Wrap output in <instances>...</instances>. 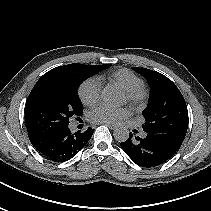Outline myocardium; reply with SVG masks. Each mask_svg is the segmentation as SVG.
Masks as SVG:
<instances>
[{
  "label": "myocardium",
  "instance_id": "f54148a6",
  "mask_svg": "<svg viewBox=\"0 0 211 211\" xmlns=\"http://www.w3.org/2000/svg\"><path fill=\"white\" fill-rule=\"evenodd\" d=\"M126 101L134 108H141L148 99V91L143 87H136L124 90Z\"/></svg>",
  "mask_w": 211,
  "mask_h": 211
}]
</instances>
